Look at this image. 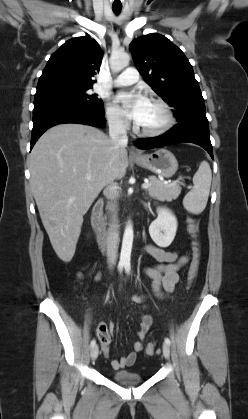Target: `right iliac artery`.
I'll return each mask as SVG.
<instances>
[{"instance_id":"obj_1","label":"right iliac artery","mask_w":248,"mask_h":419,"mask_svg":"<svg viewBox=\"0 0 248 419\" xmlns=\"http://www.w3.org/2000/svg\"><path fill=\"white\" fill-rule=\"evenodd\" d=\"M122 269H123V265H119L118 266V270L120 271V272H122ZM95 344H96V340L95 339H93L92 341H91V347H93V346H95Z\"/></svg>"}]
</instances>
